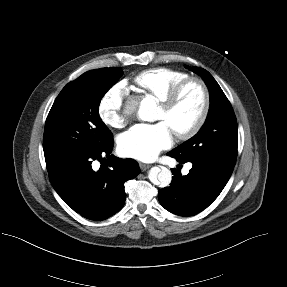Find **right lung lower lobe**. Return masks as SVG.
<instances>
[{
    "label": "right lung lower lobe",
    "mask_w": 287,
    "mask_h": 287,
    "mask_svg": "<svg viewBox=\"0 0 287 287\" xmlns=\"http://www.w3.org/2000/svg\"><path fill=\"white\" fill-rule=\"evenodd\" d=\"M113 139L102 147L78 155H69L46 164L49 179L58 195L75 212L95 221L109 218L124 205V183L135 178L140 168L133 159L111 155ZM108 161L98 171L94 160Z\"/></svg>",
    "instance_id": "98d812e1"
}]
</instances>
